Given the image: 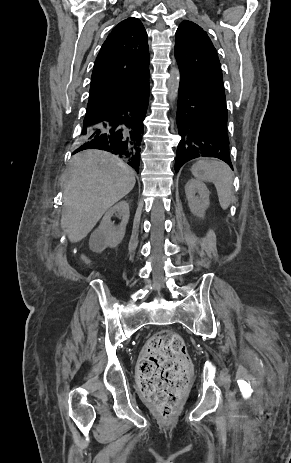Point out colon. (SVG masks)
<instances>
[{
	"mask_svg": "<svg viewBox=\"0 0 291 463\" xmlns=\"http://www.w3.org/2000/svg\"><path fill=\"white\" fill-rule=\"evenodd\" d=\"M185 351L181 336L163 330L148 341L138 362L141 392L157 406L164 419L173 416L177 398L189 378Z\"/></svg>",
	"mask_w": 291,
	"mask_h": 463,
	"instance_id": "5ec220e1",
	"label": "colon"
}]
</instances>
